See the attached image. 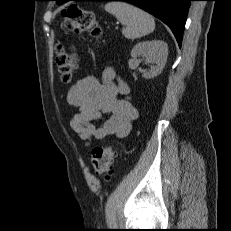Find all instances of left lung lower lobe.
<instances>
[{
    "label": "left lung lower lobe",
    "instance_id": "obj_1",
    "mask_svg": "<svg viewBox=\"0 0 231 231\" xmlns=\"http://www.w3.org/2000/svg\"><path fill=\"white\" fill-rule=\"evenodd\" d=\"M70 0H63L65 3ZM84 1H126L151 13L167 24L175 35L179 46L182 43L190 1L192 0H84ZM61 3V4H62Z\"/></svg>",
    "mask_w": 231,
    "mask_h": 231
}]
</instances>
